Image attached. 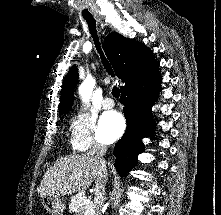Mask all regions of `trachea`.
I'll return each mask as SVG.
<instances>
[{"mask_svg":"<svg viewBox=\"0 0 221 215\" xmlns=\"http://www.w3.org/2000/svg\"><path fill=\"white\" fill-rule=\"evenodd\" d=\"M88 26H89V30L90 33L93 37L96 49L98 51V53H100L103 65L106 69V71L108 72L109 75H111L112 77H114V72L111 68V65L109 64V62L107 61V59L105 58V56L103 55V52L101 51V47H100V43H99V38L97 36V31H96V21L94 19H86ZM112 94L115 98H118L120 95V90L117 87H113L112 89Z\"/></svg>","mask_w":221,"mask_h":215,"instance_id":"1","label":"trachea"}]
</instances>
